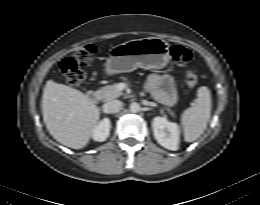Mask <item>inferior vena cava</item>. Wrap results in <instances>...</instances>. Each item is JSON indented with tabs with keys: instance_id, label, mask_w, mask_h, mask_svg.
Instances as JSON below:
<instances>
[{
	"instance_id": "inferior-vena-cava-1",
	"label": "inferior vena cava",
	"mask_w": 260,
	"mask_h": 205,
	"mask_svg": "<svg viewBox=\"0 0 260 205\" xmlns=\"http://www.w3.org/2000/svg\"><path fill=\"white\" fill-rule=\"evenodd\" d=\"M122 107V102L119 100H111L104 104V112L105 113H115L119 111Z\"/></svg>"
}]
</instances>
